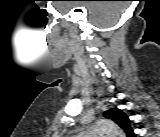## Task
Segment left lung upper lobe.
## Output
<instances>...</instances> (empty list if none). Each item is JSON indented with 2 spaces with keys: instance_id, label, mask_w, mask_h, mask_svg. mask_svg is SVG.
<instances>
[{
  "instance_id": "1",
  "label": "left lung upper lobe",
  "mask_w": 160,
  "mask_h": 137,
  "mask_svg": "<svg viewBox=\"0 0 160 137\" xmlns=\"http://www.w3.org/2000/svg\"><path fill=\"white\" fill-rule=\"evenodd\" d=\"M104 116L112 119L115 123H117L126 132V134L132 131L127 115L121 110L117 108L110 109L104 112Z\"/></svg>"
}]
</instances>
